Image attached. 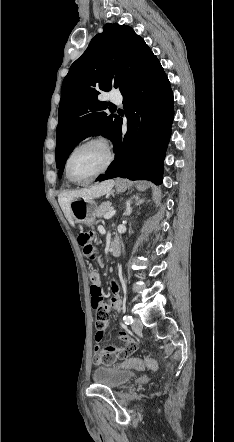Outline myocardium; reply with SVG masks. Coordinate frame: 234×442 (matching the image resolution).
I'll list each match as a JSON object with an SVG mask.
<instances>
[{"label":"myocardium","mask_w":234,"mask_h":442,"mask_svg":"<svg viewBox=\"0 0 234 442\" xmlns=\"http://www.w3.org/2000/svg\"><path fill=\"white\" fill-rule=\"evenodd\" d=\"M89 145H100L102 146L107 154V159L105 164L103 165V167L96 172L95 174H93L91 177L85 179V180H76L72 177L71 173H70V161L73 157V155L81 148L89 146ZM115 159V154L114 151L110 145V143L104 139V138H91L88 140L83 141L82 143L78 144L76 147H74L72 149V151L70 152V154L68 155V158L66 160V164H65V171H66V176L67 178L74 184H78V185H82V184H87L91 181H93L94 179H96L97 177H99L100 175H102L103 173H105L113 164Z\"/></svg>","instance_id":"f54148a6"}]
</instances>
